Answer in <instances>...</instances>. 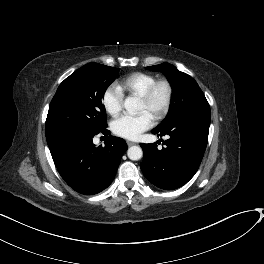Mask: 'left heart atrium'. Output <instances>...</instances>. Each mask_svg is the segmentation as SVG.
Listing matches in <instances>:
<instances>
[{"instance_id": "39dd6f15", "label": "left heart atrium", "mask_w": 264, "mask_h": 264, "mask_svg": "<svg viewBox=\"0 0 264 264\" xmlns=\"http://www.w3.org/2000/svg\"><path fill=\"white\" fill-rule=\"evenodd\" d=\"M154 124L152 115L149 112H142L139 115H123L113 121L112 130L120 137L136 139L141 133L151 128Z\"/></svg>"}]
</instances>
